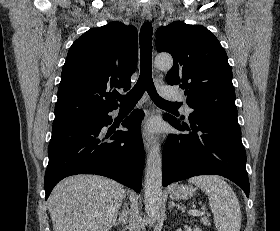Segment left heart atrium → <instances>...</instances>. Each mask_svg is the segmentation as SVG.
Masks as SVG:
<instances>
[{"instance_id": "left-heart-atrium-1", "label": "left heart atrium", "mask_w": 280, "mask_h": 231, "mask_svg": "<svg viewBox=\"0 0 280 231\" xmlns=\"http://www.w3.org/2000/svg\"><path fill=\"white\" fill-rule=\"evenodd\" d=\"M158 126L156 124V122L154 121H149L144 125V129L145 131L149 132V133H154L157 130Z\"/></svg>"}]
</instances>
